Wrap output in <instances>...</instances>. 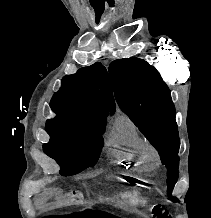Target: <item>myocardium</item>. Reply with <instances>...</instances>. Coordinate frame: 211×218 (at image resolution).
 Wrapping results in <instances>:
<instances>
[{
  "label": "myocardium",
  "mask_w": 211,
  "mask_h": 218,
  "mask_svg": "<svg viewBox=\"0 0 211 218\" xmlns=\"http://www.w3.org/2000/svg\"><path fill=\"white\" fill-rule=\"evenodd\" d=\"M143 159L150 161H158V152L152 144H146L143 151Z\"/></svg>",
  "instance_id": "1"
}]
</instances>
